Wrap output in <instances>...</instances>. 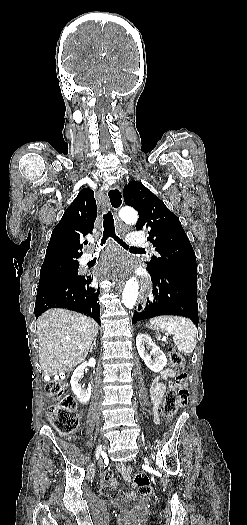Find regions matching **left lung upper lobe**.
<instances>
[{
	"label": "left lung upper lobe",
	"instance_id": "1",
	"mask_svg": "<svg viewBox=\"0 0 247 525\" xmlns=\"http://www.w3.org/2000/svg\"><path fill=\"white\" fill-rule=\"evenodd\" d=\"M123 192L125 204L139 213L136 229L147 228L155 247L147 271L197 279L195 253L178 217L141 182H129Z\"/></svg>",
	"mask_w": 247,
	"mask_h": 525
}]
</instances>
